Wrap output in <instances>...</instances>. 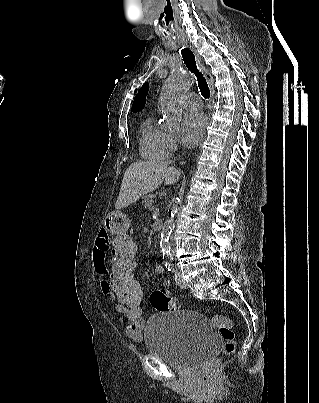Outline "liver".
<instances>
[{
	"mask_svg": "<svg viewBox=\"0 0 319 403\" xmlns=\"http://www.w3.org/2000/svg\"><path fill=\"white\" fill-rule=\"evenodd\" d=\"M180 172L162 161H136L125 171L115 208H125L143 195L154 191L163 182L172 185L179 180Z\"/></svg>",
	"mask_w": 319,
	"mask_h": 403,
	"instance_id": "1",
	"label": "liver"
}]
</instances>
